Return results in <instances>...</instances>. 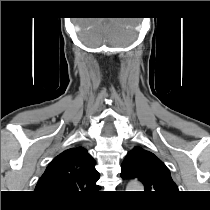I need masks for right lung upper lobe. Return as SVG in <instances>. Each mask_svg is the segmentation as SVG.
<instances>
[{"mask_svg":"<svg viewBox=\"0 0 210 210\" xmlns=\"http://www.w3.org/2000/svg\"><path fill=\"white\" fill-rule=\"evenodd\" d=\"M98 179L95 162L87 150L70 148L49 163L35 192L53 202H70L97 190Z\"/></svg>","mask_w":210,"mask_h":210,"instance_id":"right-lung-upper-lobe-1","label":"right lung upper lobe"}]
</instances>
